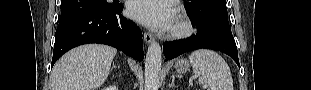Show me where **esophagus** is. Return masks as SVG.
<instances>
[{
  "mask_svg": "<svg viewBox=\"0 0 311 90\" xmlns=\"http://www.w3.org/2000/svg\"><path fill=\"white\" fill-rule=\"evenodd\" d=\"M143 36L146 43H152L154 41V38L150 33L145 32Z\"/></svg>",
  "mask_w": 311,
  "mask_h": 90,
  "instance_id": "esophagus-1",
  "label": "esophagus"
}]
</instances>
